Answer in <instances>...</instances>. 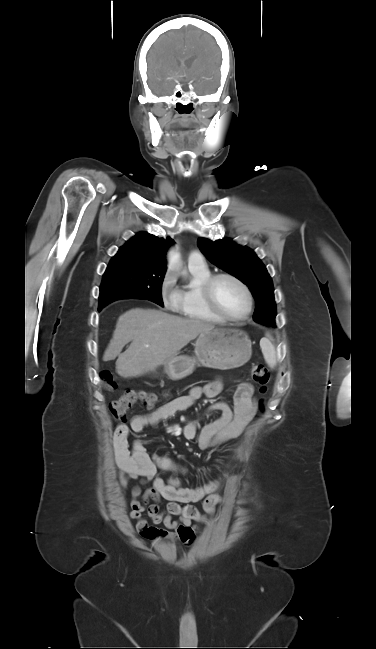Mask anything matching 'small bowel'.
I'll use <instances>...</instances> for the list:
<instances>
[{
	"label": "small bowel",
	"mask_w": 376,
	"mask_h": 649,
	"mask_svg": "<svg viewBox=\"0 0 376 649\" xmlns=\"http://www.w3.org/2000/svg\"><path fill=\"white\" fill-rule=\"evenodd\" d=\"M222 386L220 378L204 386H194L188 395L177 397L148 414L135 415L129 424H120L115 428L113 448L119 469L120 487L126 492L130 482L139 481L131 490L129 518L136 521V531L143 539L179 540L190 545L198 530L193 522H204L205 514L212 513L215 506L221 502L220 496L216 494L221 487V481L214 479L201 486L187 487L179 478L159 477V470L182 474L186 469L168 457L150 455L143 440L135 441L130 447V432L138 433L146 427L166 421L190 408L202 396L213 398L221 391ZM207 411H217L220 415L202 428L198 436L199 447L210 449L236 440L256 412L253 386L247 382L240 384L234 396L233 407L226 402L217 401L209 405ZM182 435L187 440L195 439L197 421L187 423L182 429ZM232 451L235 456L239 455L238 448ZM147 483L152 486L143 491L142 486ZM161 500L167 501L164 510L158 504ZM202 500L204 513L191 505ZM143 513L147 514L152 524L143 518ZM157 525H163L165 529L158 528Z\"/></svg>",
	"instance_id": "1"
}]
</instances>
